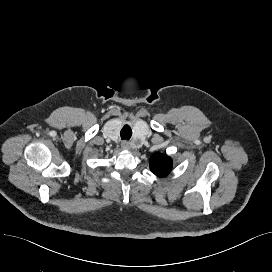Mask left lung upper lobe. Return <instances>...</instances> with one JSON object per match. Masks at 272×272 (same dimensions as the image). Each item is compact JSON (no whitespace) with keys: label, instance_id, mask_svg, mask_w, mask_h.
Masks as SVG:
<instances>
[{"label":"left lung upper lobe","instance_id":"left-lung-upper-lobe-1","mask_svg":"<svg viewBox=\"0 0 272 272\" xmlns=\"http://www.w3.org/2000/svg\"><path fill=\"white\" fill-rule=\"evenodd\" d=\"M149 163L151 171L159 177L168 175L172 169L173 164L170 157L161 153H155L152 155Z\"/></svg>","mask_w":272,"mask_h":272}]
</instances>
